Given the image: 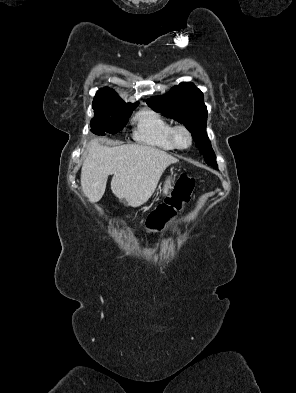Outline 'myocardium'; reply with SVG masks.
<instances>
[{"label":"myocardium","instance_id":"obj_1","mask_svg":"<svg viewBox=\"0 0 296 393\" xmlns=\"http://www.w3.org/2000/svg\"><path fill=\"white\" fill-rule=\"evenodd\" d=\"M180 131L185 132L188 136L189 142L185 146L180 145L178 142L177 135ZM171 141L174 144L175 148H177V149H180V150L188 149L193 144L192 132L187 126H185L183 124L175 125V126H173V128L171 130Z\"/></svg>","mask_w":296,"mask_h":393}]
</instances>
